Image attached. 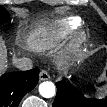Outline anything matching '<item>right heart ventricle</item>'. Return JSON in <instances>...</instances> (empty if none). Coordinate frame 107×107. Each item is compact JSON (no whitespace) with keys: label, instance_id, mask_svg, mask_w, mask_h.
I'll use <instances>...</instances> for the list:
<instances>
[{"label":"right heart ventricle","instance_id":"e07e8e85","mask_svg":"<svg viewBox=\"0 0 107 107\" xmlns=\"http://www.w3.org/2000/svg\"><path fill=\"white\" fill-rule=\"evenodd\" d=\"M80 25V19L69 17L58 21L54 26L36 29L31 37L30 44L37 51H46L56 47L63 38L73 32Z\"/></svg>","mask_w":107,"mask_h":107}]
</instances>
